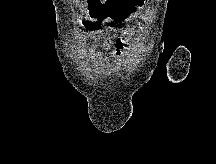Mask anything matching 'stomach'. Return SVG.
I'll list each match as a JSON object with an SVG mask.
<instances>
[{
  "label": "stomach",
  "mask_w": 216,
  "mask_h": 164,
  "mask_svg": "<svg viewBox=\"0 0 216 164\" xmlns=\"http://www.w3.org/2000/svg\"><path fill=\"white\" fill-rule=\"evenodd\" d=\"M147 0H107V7L90 9V14H100L105 20H128L132 12L143 7Z\"/></svg>",
  "instance_id": "0dacf381"
}]
</instances>
